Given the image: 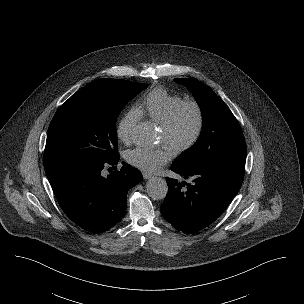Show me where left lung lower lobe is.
Instances as JSON below:
<instances>
[{
    "instance_id": "1",
    "label": "left lung lower lobe",
    "mask_w": 304,
    "mask_h": 304,
    "mask_svg": "<svg viewBox=\"0 0 304 304\" xmlns=\"http://www.w3.org/2000/svg\"><path fill=\"white\" fill-rule=\"evenodd\" d=\"M171 170L193 180L189 184L167 178L168 194L161 205L164 219L185 233L214 222L238 193L244 178V168L235 166L190 170L173 163Z\"/></svg>"
}]
</instances>
